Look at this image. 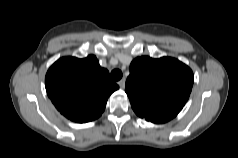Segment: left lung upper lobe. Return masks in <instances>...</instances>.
Segmentation results:
<instances>
[{
	"instance_id": "left-lung-upper-lobe-1",
	"label": "left lung upper lobe",
	"mask_w": 238,
	"mask_h": 158,
	"mask_svg": "<svg viewBox=\"0 0 238 158\" xmlns=\"http://www.w3.org/2000/svg\"><path fill=\"white\" fill-rule=\"evenodd\" d=\"M193 82L192 70L179 60L142 56L130 65L125 92L139 117L165 123L181 111Z\"/></svg>"
}]
</instances>
